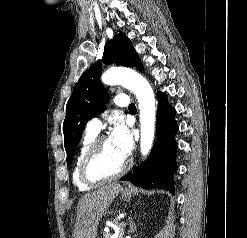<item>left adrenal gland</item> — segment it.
Here are the masks:
<instances>
[{"mask_svg": "<svg viewBox=\"0 0 247 238\" xmlns=\"http://www.w3.org/2000/svg\"><path fill=\"white\" fill-rule=\"evenodd\" d=\"M136 230H137V227H136L134 221L131 219L130 220V232L134 233Z\"/></svg>", "mask_w": 247, "mask_h": 238, "instance_id": "a2214340", "label": "left adrenal gland"}]
</instances>
